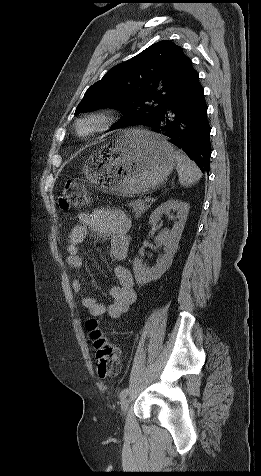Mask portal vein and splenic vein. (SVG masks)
I'll return each mask as SVG.
<instances>
[{"instance_id": "obj_1", "label": "portal vein and splenic vein", "mask_w": 261, "mask_h": 476, "mask_svg": "<svg viewBox=\"0 0 261 476\" xmlns=\"http://www.w3.org/2000/svg\"><path fill=\"white\" fill-rule=\"evenodd\" d=\"M151 200H152L151 196H147V197L145 198V202H150Z\"/></svg>"}]
</instances>
